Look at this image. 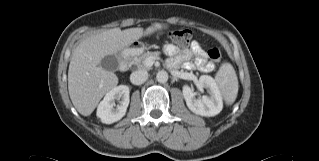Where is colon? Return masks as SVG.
I'll use <instances>...</instances> for the list:
<instances>
[{
	"instance_id": "1",
	"label": "colon",
	"mask_w": 319,
	"mask_h": 161,
	"mask_svg": "<svg viewBox=\"0 0 319 161\" xmlns=\"http://www.w3.org/2000/svg\"><path fill=\"white\" fill-rule=\"evenodd\" d=\"M170 39L177 44H186L191 38V32L189 30H174L169 35ZM207 56L213 62H219L221 54L218 48L212 47L207 50Z\"/></svg>"
}]
</instances>
